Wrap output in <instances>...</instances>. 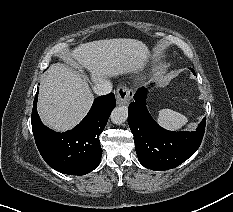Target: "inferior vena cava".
<instances>
[{"instance_id": "inferior-vena-cava-1", "label": "inferior vena cava", "mask_w": 233, "mask_h": 212, "mask_svg": "<svg viewBox=\"0 0 233 212\" xmlns=\"http://www.w3.org/2000/svg\"><path fill=\"white\" fill-rule=\"evenodd\" d=\"M93 91L97 95L109 94L112 91V84L108 80L99 81L93 86Z\"/></svg>"}]
</instances>
